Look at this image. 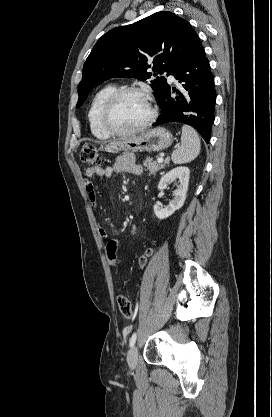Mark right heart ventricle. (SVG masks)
Wrapping results in <instances>:
<instances>
[{
	"instance_id": "e07e8e85",
	"label": "right heart ventricle",
	"mask_w": 272,
	"mask_h": 417,
	"mask_svg": "<svg viewBox=\"0 0 272 417\" xmlns=\"http://www.w3.org/2000/svg\"><path fill=\"white\" fill-rule=\"evenodd\" d=\"M118 89L116 84H107L99 89L92 98L88 110V121L91 132L99 139H108L111 135L108 134L101 124L102 108L109 98V96Z\"/></svg>"
}]
</instances>
